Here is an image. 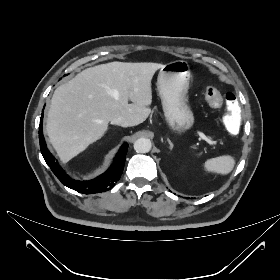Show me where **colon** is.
<instances>
[{"instance_id":"1","label":"colon","mask_w":280,"mask_h":280,"mask_svg":"<svg viewBox=\"0 0 280 280\" xmlns=\"http://www.w3.org/2000/svg\"><path fill=\"white\" fill-rule=\"evenodd\" d=\"M205 97L208 104L214 108L220 107L223 102L226 103L228 113L225 116V122L228 131L232 135L239 134L241 131L240 119L243 115V110L237 104L236 95L233 92H226L222 95L216 87L208 86L205 91Z\"/></svg>"}]
</instances>
